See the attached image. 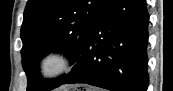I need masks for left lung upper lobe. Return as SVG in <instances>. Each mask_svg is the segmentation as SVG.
<instances>
[{
  "mask_svg": "<svg viewBox=\"0 0 173 91\" xmlns=\"http://www.w3.org/2000/svg\"><path fill=\"white\" fill-rule=\"evenodd\" d=\"M109 0H28L21 27L23 68L27 91H49L65 78L41 82L38 61L51 51H62L75 63Z\"/></svg>",
  "mask_w": 173,
  "mask_h": 91,
  "instance_id": "1",
  "label": "left lung upper lobe"
}]
</instances>
